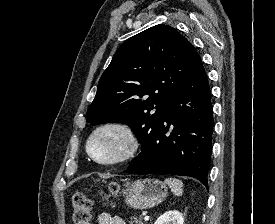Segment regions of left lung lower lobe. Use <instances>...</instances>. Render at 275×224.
I'll list each match as a JSON object with an SVG mask.
<instances>
[{
  "label": "left lung lower lobe",
  "instance_id": "left-lung-lower-lobe-1",
  "mask_svg": "<svg viewBox=\"0 0 275 224\" xmlns=\"http://www.w3.org/2000/svg\"><path fill=\"white\" fill-rule=\"evenodd\" d=\"M212 112L210 87L202 66L170 100L163 120L125 172L191 176L208 188ZM170 125L172 132L166 136Z\"/></svg>",
  "mask_w": 275,
  "mask_h": 224
}]
</instances>
